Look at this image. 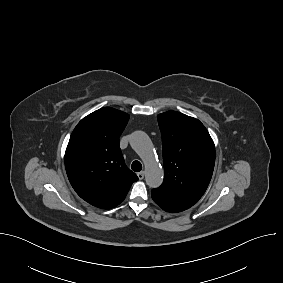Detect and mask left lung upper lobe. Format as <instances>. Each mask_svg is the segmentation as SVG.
I'll use <instances>...</instances> for the list:
<instances>
[{"instance_id":"1","label":"left lung upper lobe","mask_w":283,"mask_h":283,"mask_svg":"<svg viewBox=\"0 0 283 283\" xmlns=\"http://www.w3.org/2000/svg\"><path fill=\"white\" fill-rule=\"evenodd\" d=\"M162 136L164 181L155 190L180 211L198 202L215 164V146L204 125L176 111L157 116Z\"/></svg>"}]
</instances>
